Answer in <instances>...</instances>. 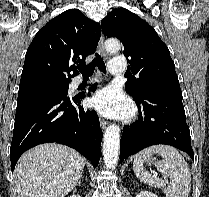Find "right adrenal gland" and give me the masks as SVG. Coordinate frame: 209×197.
<instances>
[{
  "label": "right adrenal gland",
  "mask_w": 209,
  "mask_h": 197,
  "mask_svg": "<svg viewBox=\"0 0 209 197\" xmlns=\"http://www.w3.org/2000/svg\"><path fill=\"white\" fill-rule=\"evenodd\" d=\"M81 183V178H80V180H79V184Z\"/></svg>",
  "instance_id": "obj_1"
}]
</instances>
